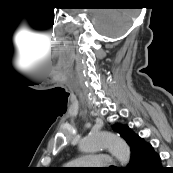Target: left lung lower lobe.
<instances>
[{"label": "left lung lower lobe", "mask_w": 173, "mask_h": 173, "mask_svg": "<svg viewBox=\"0 0 173 173\" xmlns=\"http://www.w3.org/2000/svg\"><path fill=\"white\" fill-rule=\"evenodd\" d=\"M130 152V164L124 173H159L161 170L159 154L150 143L136 134L132 138Z\"/></svg>", "instance_id": "1"}]
</instances>
